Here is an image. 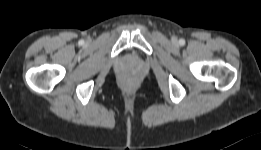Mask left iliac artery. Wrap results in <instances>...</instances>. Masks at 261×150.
<instances>
[{
    "instance_id": "left-iliac-artery-1",
    "label": "left iliac artery",
    "mask_w": 261,
    "mask_h": 150,
    "mask_svg": "<svg viewBox=\"0 0 261 150\" xmlns=\"http://www.w3.org/2000/svg\"><path fill=\"white\" fill-rule=\"evenodd\" d=\"M179 43H180V45H184L185 44V40L184 39H180Z\"/></svg>"
}]
</instances>
